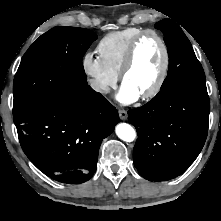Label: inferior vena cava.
<instances>
[{
  "mask_svg": "<svg viewBox=\"0 0 221 221\" xmlns=\"http://www.w3.org/2000/svg\"><path fill=\"white\" fill-rule=\"evenodd\" d=\"M90 86L93 90L98 91V92H108L109 87L104 84L103 82L97 81V80H90Z\"/></svg>",
  "mask_w": 221,
  "mask_h": 221,
  "instance_id": "602c4592",
  "label": "inferior vena cava"
}]
</instances>
